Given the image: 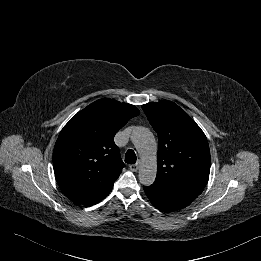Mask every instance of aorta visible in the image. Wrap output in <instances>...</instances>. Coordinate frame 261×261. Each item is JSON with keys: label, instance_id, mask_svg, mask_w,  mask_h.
<instances>
[{"label": "aorta", "instance_id": "762f6f07", "mask_svg": "<svg viewBox=\"0 0 261 261\" xmlns=\"http://www.w3.org/2000/svg\"><path fill=\"white\" fill-rule=\"evenodd\" d=\"M131 140L141 157L139 181L144 186H150L157 173V146L154 135L148 128L138 126L134 128Z\"/></svg>", "mask_w": 261, "mask_h": 261}]
</instances>
